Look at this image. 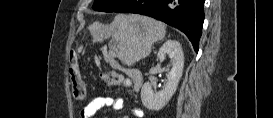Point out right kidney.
I'll return each mask as SVG.
<instances>
[{"label": "right kidney", "instance_id": "right-kidney-1", "mask_svg": "<svg viewBox=\"0 0 273 118\" xmlns=\"http://www.w3.org/2000/svg\"><path fill=\"white\" fill-rule=\"evenodd\" d=\"M168 55L172 61V68L167 75V83L163 90L157 92L152 89V83L146 82L141 89V100L149 110L162 109L176 92L184 67V54L178 41L168 40L160 48L157 58L162 62Z\"/></svg>", "mask_w": 273, "mask_h": 118}]
</instances>
